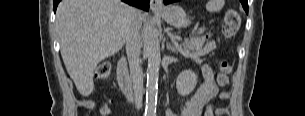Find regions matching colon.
<instances>
[{
    "label": "colon",
    "instance_id": "obj_1",
    "mask_svg": "<svg viewBox=\"0 0 305 116\" xmlns=\"http://www.w3.org/2000/svg\"><path fill=\"white\" fill-rule=\"evenodd\" d=\"M240 16L235 10L225 12L222 32L226 38H232L240 27ZM232 72V65L227 61H222L219 65V73L217 75V83L220 87H225L229 83V75ZM111 73L110 64L107 62L99 63L95 69L96 79H106ZM102 115L109 114V108L104 105L101 110Z\"/></svg>",
    "mask_w": 305,
    "mask_h": 116
}]
</instances>
